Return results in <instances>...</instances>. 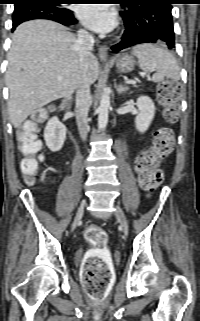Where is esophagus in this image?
<instances>
[{
    "label": "esophagus",
    "mask_w": 200,
    "mask_h": 321,
    "mask_svg": "<svg viewBox=\"0 0 200 321\" xmlns=\"http://www.w3.org/2000/svg\"><path fill=\"white\" fill-rule=\"evenodd\" d=\"M98 55L102 61H107L108 59V51L105 45H100L98 49Z\"/></svg>",
    "instance_id": "1"
}]
</instances>
